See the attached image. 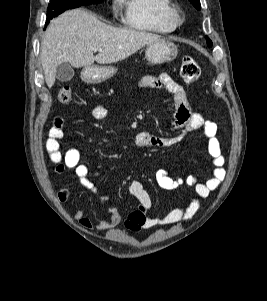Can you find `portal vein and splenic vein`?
Masks as SVG:
<instances>
[{"label":"portal vein and splenic vein","instance_id":"obj_1","mask_svg":"<svg viewBox=\"0 0 267 301\" xmlns=\"http://www.w3.org/2000/svg\"><path fill=\"white\" fill-rule=\"evenodd\" d=\"M94 51H101V48H100V47H96V48L94 49Z\"/></svg>","mask_w":267,"mask_h":301}]
</instances>
